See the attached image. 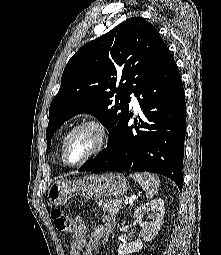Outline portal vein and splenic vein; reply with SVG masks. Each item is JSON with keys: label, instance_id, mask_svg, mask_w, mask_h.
<instances>
[{"label": "portal vein and splenic vein", "instance_id": "portal-vein-and-splenic-vein-1", "mask_svg": "<svg viewBox=\"0 0 221 255\" xmlns=\"http://www.w3.org/2000/svg\"><path fill=\"white\" fill-rule=\"evenodd\" d=\"M125 203H128V200H127V199L125 200Z\"/></svg>", "mask_w": 221, "mask_h": 255}]
</instances>
